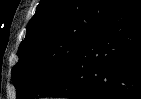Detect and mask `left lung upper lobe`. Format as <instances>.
I'll use <instances>...</instances> for the list:
<instances>
[{"mask_svg":"<svg viewBox=\"0 0 141 99\" xmlns=\"http://www.w3.org/2000/svg\"><path fill=\"white\" fill-rule=\"evenodd\" d=\"M120 0H41L12 69L17 99L33 98L55 85L78 52Z\"/></svg>","mask_w":141,"mask_h":99,"instance_id":"left-lung-upper-lobe-1","label":"left lung upper lobe"}]
</instances>
